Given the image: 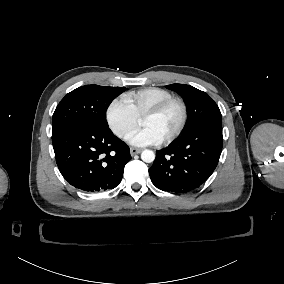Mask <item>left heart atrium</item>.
<instances>
[{
  "instance_id": "obj_1",
  "label": "left heart atrium",
  "mask_w": 284,
  "mask_h": 284,
  "mask_svg": "<svg viewBox=\"0 0 284 284\" xmlns=\"http://www.w3.org/2000/svg\"><path fill=\"white\" fill-rule=\"evenodd\" d=\"M127 142L136 147L157 145L161 142L159 137L147 127H143L132 131L128 137Z\"/></svg>"
}]
</instances>
